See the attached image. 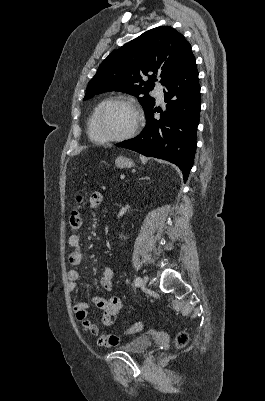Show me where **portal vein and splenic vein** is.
Masks as SVG:
<instances>
[{
    "label": "portal vein and splenic vein",
    "mask_w": 265,
    "mask_h": 401,
    "mask_svg": "<svg viewBox=\"0 0 265 401\" xmlns=\"http://www.w3.org/2000/svg\"><path fill=\"white\" fill-rule=\"evenodd\" d=\"M119 180H120V181H124V180H125V177H124L123 174H120V175H119Z\"/></svg>",
    "instance_id": "1"
}]
</instances>
